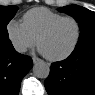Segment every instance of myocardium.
<instances>
[{
	"instance_id": "myocardium-1",
	"label": "myocardium",
	"mask_w": 95,
	"mask_h": 95,
	"mask_svg": "<svg viewBox=\"0 0 95 95\" xmlns=\"http://www.w3.org/2000/svg\"><path fill=\"white\" fill-rule=\"evenodd\" d=\"M67 20H71V21L75 22V24L77 26V37H76V40H75L73 46L67 52H65L64 54H62L60 56L52 57V56L44 54L40 49L41 40L44 37H46L48 34H50L60 23H62L64 21H67ZM81 37H82V25H81L80 21L77 18L73 17V16H64V17L54 21L53 23H51L49 26H47L39 34V36L37 37L36 42H37L38 48L40 49V51L42 52V54L45 56L46 59H48L50 61L57 62V61H62V60L67 59L69 56H71L75 52V50L77 49V47H78V45L81 41Z\"/></svg>"
}]
</instances>
